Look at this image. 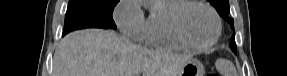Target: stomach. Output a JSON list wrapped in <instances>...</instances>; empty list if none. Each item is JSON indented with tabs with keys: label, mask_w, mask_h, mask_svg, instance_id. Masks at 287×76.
I'll list each match as a JSON object with an SVG mask.
<instances>
[{
	"label": "stomach",
	"mask_w": 287,
	"mask_h": 76,
	"mask_svg": "<svg viewBox=\"0 0 287 76\" xmlns=\"http://www.w3.org/2000/svg\"><path fill=\"white\" fill-rule=\"evenodd\" d=\"M204 73L202 63L195 58H190L182 67L179 76H204Z\"/></svg>",
	"instance_id": "obj_1"
}]
</instances>
